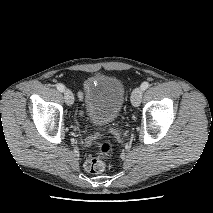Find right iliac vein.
<instances>
[{
  "label": "right iliac vein",
  "mask_w": 213,
  "mask_h": 213,
  "mask_svg": "<svg viewBox=\"0 0 213 213\" xmlns=\"http://www.w3.org/2000/svg\"><path fill=\"white\" fill-rule=\"evenodd\" d=\"M64 99L67 105H72L74 103V95L69 89L64 90Z\"/></svg>",
  "instance_id": "63e3f726"
}]
</instances>
